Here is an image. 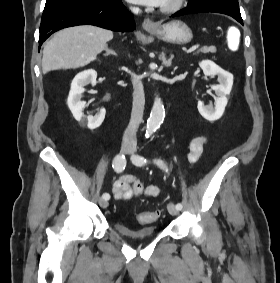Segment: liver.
<instances>
[{"label":"liver","mask_w":280,"mask_h":283,"mask_svg":"<svg viewBox=\"0 0 280 283\" xmlns=\"http://www.w3.org/2000/svg\"><path fill=\"white\" fill-rule=\"evenodd\" d=\"M112 39V31L91 25L59 31L44 47L43 73L85 66L94 61Z\"/></svg>","instance_id":"6515ba94"}]
</instances>
